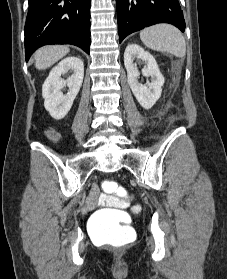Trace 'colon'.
<instances>
[{
    "instance_id": "5ec220e1",
    "label": "colon",
    "mask_w": 227,
    "mask_h": 279,
    "mask_svg": "<svg viewBox=\"0 0 227 279\" xmlns=\"http://www.w3.org/2000/svg\"><path fill=\"white\" fill-rule=\"evenodd\" d=\"M48 138L52 141L58 139V133L54 130L48 131ZM102 188L106 196L115 197L111 191H117L122 188L118 181L105 180L102 182ZM128 194V191H123ZM128 215L121 209L103 208L96 211L90 222V232L96 241H102L108 237L119 239H133L134 230L126 223Z\"/></svg>"
}]
</instances>
